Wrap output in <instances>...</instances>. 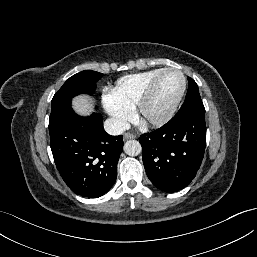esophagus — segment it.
I'll return each instance as SVG.
<instances>
[{"mask_svg": "<svg viewBox=\"0 0 257 257\" xmlns=\"http://www.w3.org/2000/svg\"><path fill=\"white\" fill-rule=\"evenodd\" d=\"M135 138H136V135H135V134H132V133H130V132L125 133V134L123 135V139H124V140L135 139Z\"/></svg>", "mask_w": 257, "mask_h": 257, "instance_id": "esophagus-1", "label": "esophagus"}]
</instances>
